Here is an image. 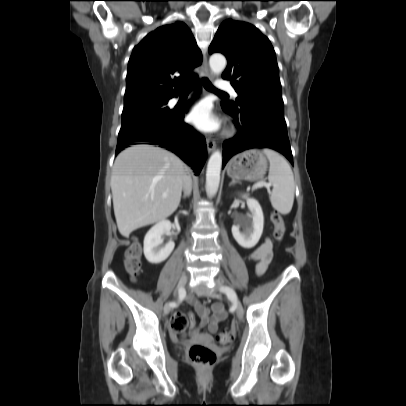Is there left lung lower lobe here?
Instances as JSON below:
<instances>
[{"label": "left lung lower lobe", "mask_w": 406, "mask_h": 406, "mask_svg": "<svg viewBox=\"0 0 406 406\" xmlns=\"http://www.w3.org/2000/svg\"><path fill=\"white\" fill-rule=\"evenodd\" d=\"M234 118L237 135L224 142L223 167L235 154L250 148H270L282 153L293 164L284 119V111L265 106H252L242 113L222 107Z\"/></svg>", "instance_id": "obj_1"}]
</instances>
